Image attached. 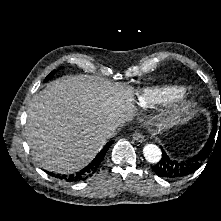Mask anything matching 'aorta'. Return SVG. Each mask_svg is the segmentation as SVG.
Wrapping results in <instances>:
<instances>
[{"instance_id":"1","label":"aorta","mask_w":221,"mask_h":221,"mask_svg":"<svg viewBox=\"0 0 221 221\" xmlns=\"http://www.w3.org/2000/svg\"><path fill=\"white\" fill-rule=\"evenodd\" d=\"M143 155L150 163H158L162 157L160 148L154 144H146L143 148Z\"/></svg>"}]
</instances>
